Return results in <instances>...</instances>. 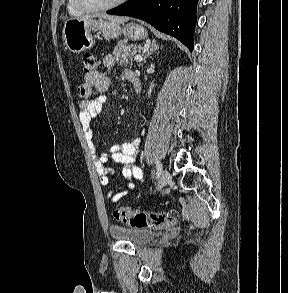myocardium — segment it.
I'll return each instance as SVG.
<instances>
[{
  "instance_id": "myocardium-1",
  "label": "myocardium",
  "mask_w": 288,
  "mask_h": 293,
  "mask_svg": "<svg viewBox=\"0 0 288 293\" xmlns=\"http://www.w3.org/2000/svg\"><path fill=\"white\" fill-rule=\"evenodd\" d=\"M126 1L127 0H116L109 4L93 6V5H89L85 3L83 0H73L75 6L83 12H98V11L110 10L122 5Z\"/></svg>"
}]
</instances>
